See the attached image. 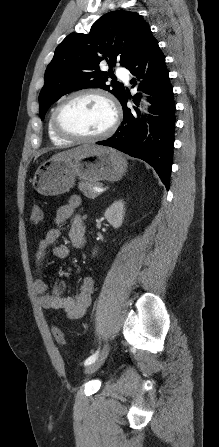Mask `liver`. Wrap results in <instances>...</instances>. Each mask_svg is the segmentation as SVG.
<instances>
[{
	"instance_id": "liver-1",
	"label": "liver",
	"mask_w": 219,
	"mask_h": 447,
	"mask_svg": "<svg viewBox=\"0 0 219 447\" xmlns=\"http://www.w3.org/2000/svg\"><path fill=\"white\" fill-rule=\"evenodd\" d=\"M97 149H100V147H96L94 145H82L79 147L59 152L53 155L51 159L53 160L77 159L84 157L92 153L93 151H96Z\"/></svg>"
}]
</instances>
